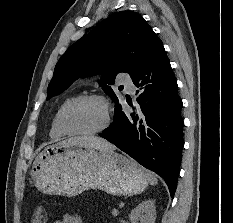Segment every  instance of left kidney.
<instances>
[{
  "label": "left kidney",
  "instance_id": "left-kidney-1",
  "mask_svg": "<svg viewBox=\"0 0 233 223\" xmlns=\"http://www.w3.org/2000/svg\"><path fill=\"white\" fill-rule=\"evenodd\" d=\"M131 223H155V199H145L129 213Z\"/></svg>",
  "mask_w": 233,
  "mask_h": 223
}]
</instances>
